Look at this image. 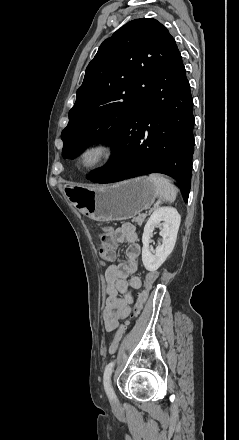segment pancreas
I'll return each instance as SVG.
<instances>
[{"label":"pancreas","instance_id":"obj_1","mask_svg":"<svg viewBox=\"0 0 239 440\" xmlns=\"http://www.w3.org/2000/svg\"><path fill=\"white\" fill-rule=\"evenodd\" d=\"M148 216V214H139V216H136V218H133L131 222H137L138 226H142L143 222H145V218Z\"/></svg>","mask_w":239,"mask_h":440}]
</instances>
